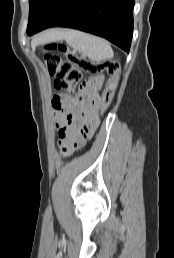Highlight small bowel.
I'll return each instance as SVG.
<instances>
[{"label": "small bowel", "instance_id": "small-bowel-1", "mask_svg": "<svg viewBox=\"0 0 174 258\" xmlns=\"http://www.w3.org/2000/svg\"><path fill=\"white\" fill-rule=\"evenodd\" d=\"M103 81V75L90 77L78 99L66 94H58L52 98V111L64 156L73 153L76 146H84L99 126L102 96L97 93V89ZM85 98H89V105L86 104Z\"/></svg>", "mask_w": 174, "mask_h": 258}]
</instances>
